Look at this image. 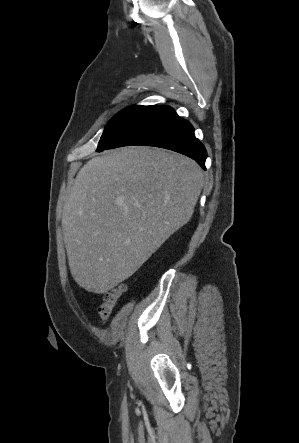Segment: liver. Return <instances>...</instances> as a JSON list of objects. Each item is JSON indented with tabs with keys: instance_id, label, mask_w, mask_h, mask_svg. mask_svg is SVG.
Here are the masks:
<instances>
[{
	"instance_id": "liver-1",
	"label": "liver",
	"mask_w": 299,
	"mask_h": 443,
	"mask_svg": "<svg viewBox=\"0 0 299 443\" xmlns=\"http://www.w3.org/2000/svg\"><path fill=\"white\" fill-rule=\"evenodd\" d=\"M203 185L197 162L160 148L125 147L89 160L62 214L76 283L104 294L132 276L191 219Z\"/></svg>"
}]
</instances>
